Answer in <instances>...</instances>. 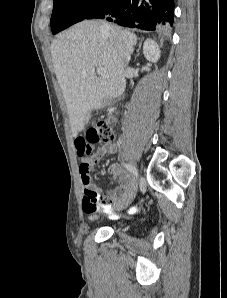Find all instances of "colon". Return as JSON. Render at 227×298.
I'll return each instance as SVG.
<instances>
[{
	"instance_id": "5ec220e1",
	"label": "colon",
	"mask_w": 227,
	"mask_h": 298,
	"mask_svg": "<svg viewBox=\"0 0 227 298\" xmlns=\"http://www.w3.org/2000/svg\"><path fill=\"white\" fill-rule=\"evenodd\" d=\"M113 140V129L106 122H97L94 125H92L86 132L85 142H91L92 146L97 143H111L113 142Z\"/></svg>"
}]
</instances>
